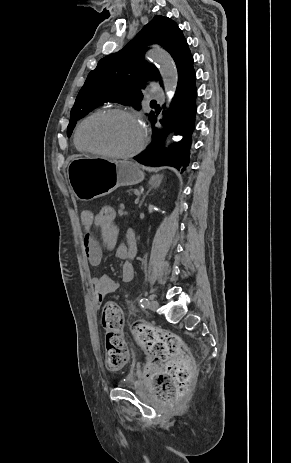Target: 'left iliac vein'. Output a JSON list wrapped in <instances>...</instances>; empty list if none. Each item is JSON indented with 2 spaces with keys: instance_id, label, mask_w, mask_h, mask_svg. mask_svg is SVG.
Masks as SVG:
<instances>
[{
  "instance_id": "1",
  "label": "left iliac vein",
  "mask_w": 291,
  "mask_h": 463,
  "mask_svg": "<svg viewBox=\"0 0 291 463\" xmlns=\"http://www.w3.org/2000/svg\"><path fill=\"white\" fill-rule=\"evenodd\" d=\"M159 307V303L155 300H152L149 304V308L152 310V311H155L157 308Z\"/></svg>"
}]
</instances>
